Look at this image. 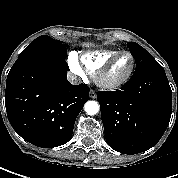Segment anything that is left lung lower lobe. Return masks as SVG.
Listing matches in <instances>:
<instances>
[{"label": "left lung lower lobe", "instance_id": "0a47b994", "mask_svg": "<svg viewBox=\"0 0 178 178\" xmlns=\"http://www.w3.org/2000/svg\"><path fill=\"white\" fill-rule=\"evenodd\" d=\"M101 118L109 146L124 154L153 147L172 113V91L163 68L133 75L117 91H99Z\"/></svg>", "mask_w": 178, "mask_h": 178}]
</instances>
